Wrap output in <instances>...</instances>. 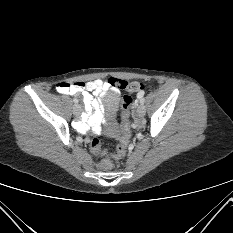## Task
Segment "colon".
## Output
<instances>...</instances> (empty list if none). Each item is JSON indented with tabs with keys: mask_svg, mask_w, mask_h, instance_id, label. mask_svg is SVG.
I'll use <instances>...</instances> for the list:
<instances>
[{
	"mask_svg": "<svg viewBox=\"0 0 233 233\" xmlns=\"http://www.w3.org/2000/svg\"><path fill=\"white\" fill-rule=\"evenodd\" d=\"M109 83L112 87L125 91L126 94L122 99L123 107V123H122V134L119 138V142L116 148L115 154H109L102 150L100 140L94 138L90 143V150L92 154L96 157H105L101 163L102 168L107 169L111 166L112 160L122 159L127 151L131 131H130V106L132 104L133 98L132 94L137 93L143 89V85L138 82H128L121 79L111 78Z\"/></svg>",
	"mask_w": 233,
	"mask_h": 233,
	"instance_id": "obj_1",
	"label": "colon"
}]
</instances>
